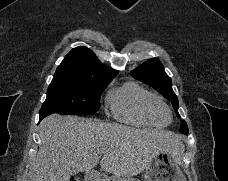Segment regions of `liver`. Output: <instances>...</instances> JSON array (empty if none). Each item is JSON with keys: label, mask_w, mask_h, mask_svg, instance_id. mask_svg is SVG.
<instances>
[{"label": "liver", "mask_w": 228, "mask_h": 181, "mask_svg": "<svg viewBox=\"0 0 228 181\" xmlns=\"http://www.w3.org/2000/svg\"><path fill=\"white\" fill-rule=\"evenodd\" d=\"M39 129V151L29 181H70L71 169L93 171L102 149H106L102 171L113 177H134L149 169L156 153H171L178 163L185 149L181 135L175 133L56 113L43 119Z\"/></svg>", "instance_id": "liver-1"}]
</instances>
